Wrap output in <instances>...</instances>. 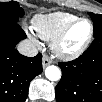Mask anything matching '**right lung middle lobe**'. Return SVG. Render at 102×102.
I'll return each mask as SVG.
<instances>
[{
    "label": "right lung middle lobe",
    "mask_w": 102,
    "mask_h": 102,
    "mask_svg": "<svg viewBox=\"0 0 102 102\" xmlns=\"http://www.w3.org/2000/svg\"><path fill=\"white\" fill-rule=\"evenodd\" d=\"M24 11L19 7L18 2L10 1L0 3V21L12 20L18 22L19 18L23 17Z\"/></svg>",
    "instance_id": "dd1d6c3e"
}]
</instances>
